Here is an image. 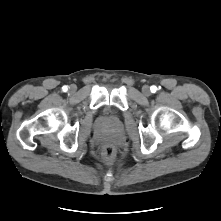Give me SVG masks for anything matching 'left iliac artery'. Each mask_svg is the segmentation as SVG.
<instances>
[{
  "instance_id": "1",
  "label": "left iliac artery",
  "mask_w": 221,
  "mask_h": 221,
  "mask_svg": "<svg viewBox=\"0 0 221 221\" xmlns=\"http://www.w3.org/2000/svg\"><path fill=\"white\" fill-rule=\"evenodd\" d=\"M150 90H151L152 93H155L156 90H157V87H156V86H151V87H150Z\"/></svg>"
}]
</instances>
